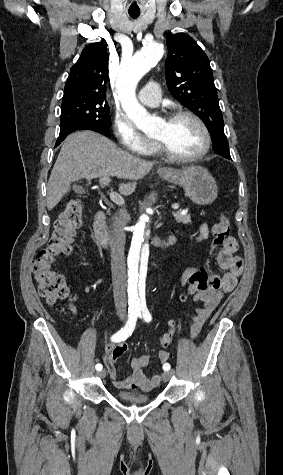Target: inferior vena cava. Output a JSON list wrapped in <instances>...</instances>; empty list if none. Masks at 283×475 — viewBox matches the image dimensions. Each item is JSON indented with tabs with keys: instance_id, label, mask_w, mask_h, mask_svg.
<instances>
[{
	"instance_id": "602c4592",
	"label": "inferior vena cava",
	"mask_w": 283,
	"mask_h": 475,
	"mask_svg": "<svg viewBox=\"0 0 283 475\" xmlns=\"http://www.w3.org/2000/svg\"><path fill=\"white\" fill-rule=\"evenodd\" d=\"M125 210L119 212V216H123ZM110 247H111V271H112V285L114 303L117 313H126V263L124 257V243L125 239L121 230V220L117 218L112 224L110 232Z\"/></svg>"
}]
</instances>
